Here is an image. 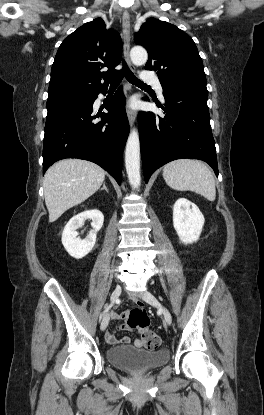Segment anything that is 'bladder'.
<instances>
[{
	"label": "bladder",
	"mask_w": 264,
	"mask_h": 415,
	"mask_svg": "<svg viewBox=\"0 0 264 415\" xmlns=\"http://www.w3.org/2000/svg\"><path fill=\"white\" fill-rule=\"evenodd\" d=\"M106 360L113 367L131 372L153 370L166 364L169 360L167 348L146 349L132 345L108 348Z\"/></svg>",
	"instance_id": "bladder-1"
}]
</instances>
